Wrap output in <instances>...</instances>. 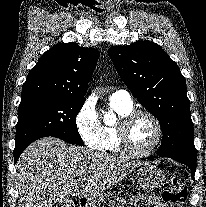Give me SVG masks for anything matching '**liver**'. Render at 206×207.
Wrapping results in <instances>:
<instances>
[{"instance_id":"1","label":"liver","mask_w":206,"mask_h":207,"mask_svg":"<svg viewBox=\"0 0 206 207\" xmlns=\"http://www.w3.org/2000/svg\"><path fill=\"white\" fill-rule=\"evenodd\" d=\"M140 164L54 137L41 138L24 150L16 165L19 207H53L75 195L97 207L104 200V191Z\"/></svg>"}]
</instances>
